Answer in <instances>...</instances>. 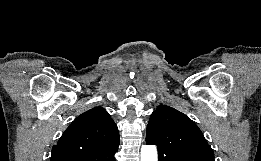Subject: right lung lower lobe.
Wrapping results in <instances>:
<instances>
[{
  "instance_id": "right-lung-lower-lobe-1",
  "label": "right lung lower lobe",
  "mask_w": 261,
  "mask_h": 161,
  "mask_svg": "<svg viewBox=\"0 0 261 161\" xmlns=\"http://www.w3.org/2000/svg\"><path fill=\"white\" fill-rule=\"evenodd\" d=\"M118 147L110 149L98 154L80 156L71 161H115L114 154L117 152Z\"/></svg>"
}]
</instances>
